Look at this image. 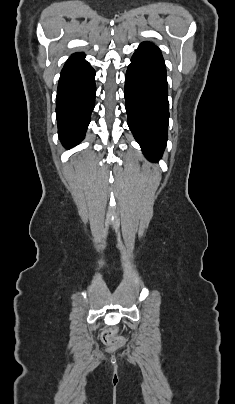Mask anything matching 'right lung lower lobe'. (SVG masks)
Instances as JSON below:
<instances>
[{
	"mask_svg": "<svg viewBox=\"0 0 235 404\" xmlns=\"http://www.w3.org/2000/svg\"><path fill=\"white\" fill-rule=\"evenodd\" d=\"M95 71L85 56H71L65 63L57 89L58 133L67 148L83 138L95 105Z\"/></svg>",
	"mask_w": 235,
	"mask_h": 404,
	"instance_id": "1",
	"label": "right lung lower lobe"
}]
</instances>
